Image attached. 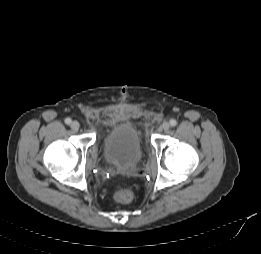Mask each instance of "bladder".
I'll return each mask as SVG.
<instances>
[{
  "instance_id": "obj_1",
  "label": "bladder",
  "mask_w": 261,
  "mask_h": 254,
  "mask_svg": "<svg viewBox=\"0 0 261 254\" xmlns=\"http://www.w3.org/2000/svg\"><path fill=\"white\" fill-rule=\"evenodd\" d=\"M106 161L118 168L135 166L143 155V145L138 129L130 123L113 126L103 140Z\"/></svg>"
}]
</instances>
